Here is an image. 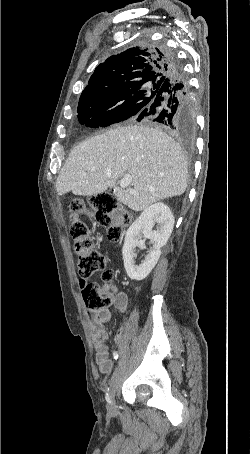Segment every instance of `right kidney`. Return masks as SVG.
<instances>
[{"label":"right kidney","instance_id":"1","mask_svg":"<svg viewBox=\"0 0 250 454\" xmlns=\"http://www.w3.org/2000/svg\"><path fill=\"white\" fill-rule=\"evenodd\" d=\"M157 223L156 230H153ZM174 227V216L170 208L158 202L150 205L134 223L128 228L122 248L124 267L130 279L140 281L145 279L157 264L161 248L166 245ZM140 233L150 239L153 244L140 265H135V248H145V241L141 239Z\"/></svg>","mask_w":250,"mask_h":454}]
</instances>
